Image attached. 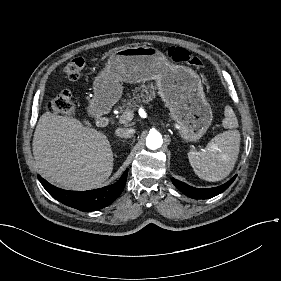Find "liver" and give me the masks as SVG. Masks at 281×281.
Wrapping results in <instances>:
<instances>
[{"label":"liver","instance_id":"liver-1","mask_svg":"<svg viewBox=\"0 0 281 281\" xmlns=\"http://www.w3.org/2000/svg\"><path fill=\"white\" fill-rule=\"evenodd\" d=\"M32 145L42 176L61 188L90 190L111 175L113 157L106 136L73 117L43 113Z\"/></svg>","mask_w":281,"mask_h":281}]
</instances>
